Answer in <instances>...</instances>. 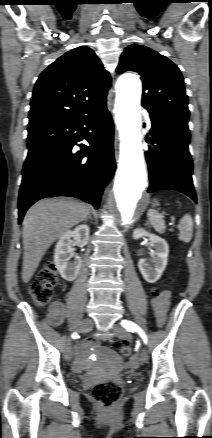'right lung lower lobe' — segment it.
<instances>
[{
  "label": "right lung lower lobe",
  "instance_id": "1",
  "mask_svg": "<svg viewBox=\"0 0 212 438\" xmlns=\"http://www.w3.org/2000/svg\"><path fill=\"white\" fill-rule=\"evenodd\" d=\"M91 130L92 132H89ZM86 139L90 146H74ZM28 156L19 191V224L39 199L72 196L99 207L114 175L113 121L106 106L77 119H54L28 127Z\"/></svg>",
  "mask_w": 212,
  "mask_h": 438
}]
</instances>
